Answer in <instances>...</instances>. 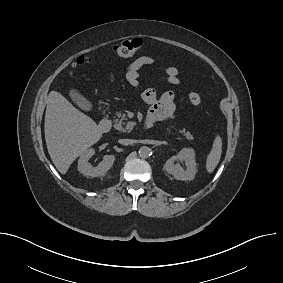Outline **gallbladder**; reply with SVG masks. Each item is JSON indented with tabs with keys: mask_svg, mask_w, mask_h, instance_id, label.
Masks as SVG:
<instances>
[{
	"mask_svg": "<svg viewBox=\"0 0 283 283\" xmlns=\"http://www.w3.org/2000/svg\"><path fill=\"white\" fill-rule=\"evenodd\" d=\"M69 96L72 101L82 110L84 111H91L92 104L89 100H87L78 90L70 89Z\"/></svg>",
	"mask_w": 283,
	"mask_h": 283,
	"instance_id": "obj_1",
	"label": "gallbladder"
}]
</instances>
